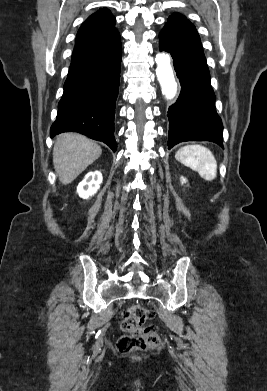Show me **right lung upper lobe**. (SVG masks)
<instances>
[{"label":"right lung upper lobe","mask_w":267,"mask_h":391,"mask_svg":"<svg viewBox=\"0 0 267 391\" xmlns=\"http://www.w3.org/2000/svg\"><path fill=\"white\" fill-rule=\"evenodd\" d=\"M115 21V17L106 8L89 16L77 33L71 62L108 50L121 43Z\"/></svg>","instance_id":"cb5924a9"}]
</instances>
